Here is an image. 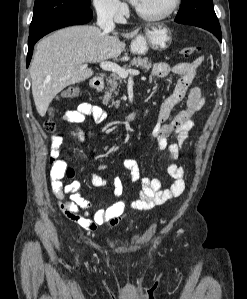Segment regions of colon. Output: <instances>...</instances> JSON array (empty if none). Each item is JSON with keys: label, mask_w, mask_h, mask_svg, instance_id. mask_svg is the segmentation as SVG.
<instances>
[{"label": "colon", "mask_w": 247, "mask_h": 299, "mask_svg": "<svg viewBox=\"0 0 247 299\" xmlns=\"http://www.w3.org/2000/svg\"><path fill=\"white\" fill-rule=\"evenodd\" d=\"M198 51V48L196 46H188L181 48L179 50V54L183 57H190L193 56ZM80 90L77 86H70L67 89H65L61 96L65 99H73L79 96ZM44 129L46 132L53 134L56 131V122L53 118V110H49V118L44 122ZM66 175H70L69 170H64L63 172Z\"/></svg>", "instance_id": "1"}]
</instances>
